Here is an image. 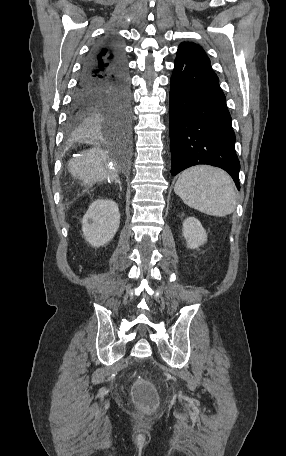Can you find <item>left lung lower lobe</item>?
<instances>
[{"mask_svg": "<svg viewBox=\"0 0 286 456\" xmlns=\"http://www.w3.org/2000/svg\"><path fill=\"white\" fill-rule=\"evenodd\" d=\"M169 101L171 174L198 164L217 166L231 175L239 190L235 134L217 75L175 60Z\"/></svg>", "mask_w": 286, "mask_h": 456, "instance_id": "obj_1", "label": "left lung lower lobe"}]
</instances>
